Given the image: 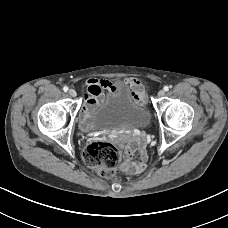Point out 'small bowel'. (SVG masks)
<instances>
[{"label":"small bowel","mask_w":228,"mask_h":228,"mask_svg":"<svg viewBox=\"0 0 228 228\" xmlns=\"http://www.w3.org/2000/svg\"><path fill=\"white\" fill-rule=\"evenodd\" d=\"M125 82L130 85L134 97L140 102H143L145 100V93L141 82L134 78L126 79ZM85 86L86 92L84 94L82 114L86 117L99 104L103 91L112 86L109 81L100 78L87 80ZM137 149L139 150L140 159L138 161H133V155ZM147 158V151L141 142H132L125 148L123 169L129 174L142 173L147 167Z\"/></svg>","instance_id":"c3829d8e"}]
</instances>
